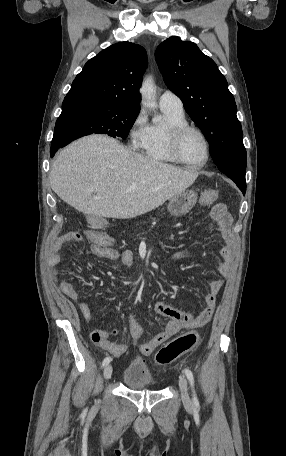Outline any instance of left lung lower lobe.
<instances>
[{
  "instance_id": "obj_1",
  "label": "left lung lower lobe",
  "mask_w": 286,
  "mask_h": 456,
  "mask_svg": "<svg viewBox=\"0 0 286 456\" xmlns=\"http://www.w3.org/2000/svg\"><path fill=\"white\" fill-rule=\"evenodd\" d=\"M218 169L227 175L230 179H232L239 189L245 195L246 192V181H245V173H246V165L240 163H224L218 165Z\"/></svg>"
}]
</instances>
